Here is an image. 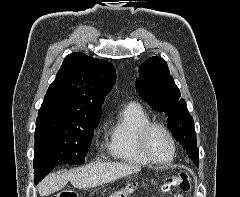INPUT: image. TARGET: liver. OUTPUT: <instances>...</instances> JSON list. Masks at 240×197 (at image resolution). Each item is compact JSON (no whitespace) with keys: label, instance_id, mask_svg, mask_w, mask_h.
<instances>
[{"label":"liver","instance_id":"6515ba94","mask_svg":"<svg viewBox=\"0 0 240 197\" xmlns=\"http://www.w3.org/2000/svg\"><path fill=\"white\" fill-rule=\"evenodd\" d=\"M137 165L121 163L88 164L61 173H52L38 185L40 196H48L60 191L68 182L75 188L86 189L109 183L124 176L140 171Z\"/></svg>","mask_w":240,"mask_h":197}]
</instances>
